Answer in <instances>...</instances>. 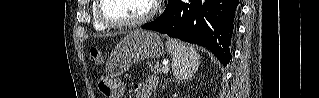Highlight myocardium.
<instances>
[{
    "label": "myocardium",
    "instance_id": "1",
    "mask_svg": "<svg viewBox=\"0 0 319 98\" xmlns=\"http://www.w3.org/2000/svg\"><path fill=\"white\" fill-rule=\"evenodd\" d=\"M104 1L105 0L97 1L96 14H97L99 21L102 24H104L106 27H110V28H134V27L141 26L153 18V16L156 14L158 7H159V1L148 0L149 1V9L140 18L130 20V21H114V20L108 19L103 14L102 8H103Z\"/></svg>",
    "mask_w": 319,
    "mask_h": 98
}]
</instances>
